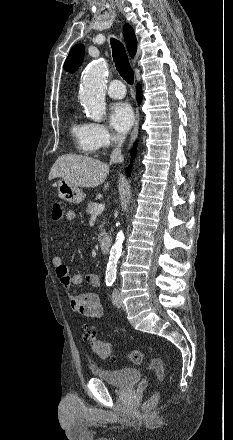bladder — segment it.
<instances>
[{
  "label": "bladder",
  "instance_id": "obj_1",
  "mask_svg": "<svg viewBox=\"0 0 233 440\" xmlns=\"http://www.w3.org/2000/svg\"><path fill=\"white\" fill-rule=\"evenodd\" d=\"M91 369L96 378L119 388L132 387L141 379V373L136 368L103 369L92 366Z\"/></svg>",
  "mask_w": 233,
  "mask_h": 440
}]
</instances>
